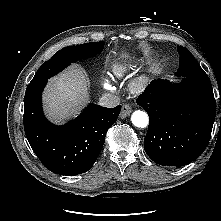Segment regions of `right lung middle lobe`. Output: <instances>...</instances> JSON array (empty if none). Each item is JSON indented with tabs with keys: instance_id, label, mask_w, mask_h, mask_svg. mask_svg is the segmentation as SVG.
<instances>
[{
	"instance_id": "1",
	"label": "right lung middle lobe",
	"mask_w": 221,
	"mask_h": 221,
	"mask_svg": "<svg viewBox=\"0 0 221 221\" xmlns=\"http://www.w3.org/2000/svg\"><path fill=\"white\" fill-rule=\"evenodd\" d=\"M103 46L104 41H100L68 46L59 50L38 69L30 84L51 78L76 60L86 59L100 53Z\"/></svg>"
}]
</instances>
